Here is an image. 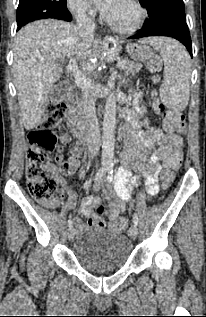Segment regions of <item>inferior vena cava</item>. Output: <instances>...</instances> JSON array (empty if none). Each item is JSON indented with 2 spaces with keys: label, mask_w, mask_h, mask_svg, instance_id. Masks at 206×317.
I'll return each mask as SVG.
<instances>
[{
  "label": "inferior vena cava",
  "mask_w": 206,
  "mask_h": 317,
  "mask_svg": "<svg viewBox=\"0 0 206 317\" xmlns=\"http://www.w3.org/2000/svg\"><path fill=\"white\" fill-rule=\"evenodd\" d=\"M88 6L80 5L76 12L77 26L76 30L85 40L93 38L95 23L91 17L87 15ZM83 113L85 118L84 126V145L88 148L90 157H95L100 148V131L98 118L96 116L95 99L89 93L82 96Z\"/></svg>",
  "instance_id": "obj_1"
}]
</instances>
